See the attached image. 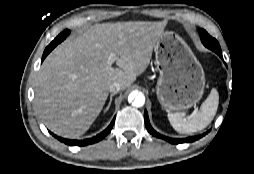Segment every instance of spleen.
Wrapping results in <instances>:
<instances>
[{
  "mask_svg": "<svg viewBox=\"0 0 254 174\" xmlns=\"http://www.w3.org/2000/svg\"><path fill=\"white\" fill-rule=\"evenodd\" d=\"M218 104L219 94L218 91L213 88L196 115L185 118L182 113L168 112V119L177 132L194 133L203 130L212 122L216 115Z\"/></svg>",
  "mask_w": 254,
  "mask_h": 174,
  "instance_id": "spleen-1",
  "label": "spleen"
}]
</instances>
